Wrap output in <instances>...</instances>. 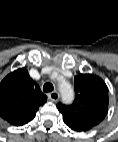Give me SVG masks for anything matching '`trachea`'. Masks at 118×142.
<instances>
[{
	"mask_svg": "<svg viewBox=\"0 0 118 142\" xmlns=\"http://www.w3.org/2000/svg\"><path fill=\"white\" fill-rule=\"evenodd\" d=\"M54 87L51 83H45L43 86V91L44 92H51L53 91Z\"/></svg>",
	"mask_w": 118,
	"mask_h": 142,
	"instance_id": "3493384b",
	"label": "trachea"
}]
</instances>
